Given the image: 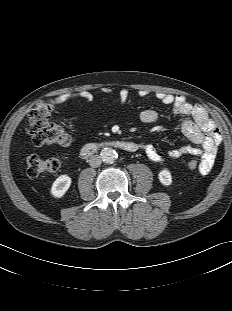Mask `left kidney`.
<instances>
[{
	"label": "left kidney",
	"instance_id": "left-kidney-1",
	"mask_svg": "<svg viewBox=\"0 0 232 311\" xmlns=\"http://www.w3.org/2000/svg\"><path fill=\"white\" fill-rule=\"evenodd\" d=\"M160 182L165 185L169 186L172 183V176L168 169H163L158 174Z\"/></svg>",
	"mask_w": 232,
	"mask_h": 311
}]
</instances>
